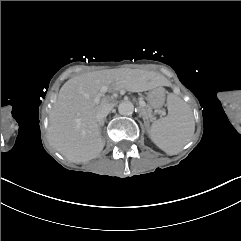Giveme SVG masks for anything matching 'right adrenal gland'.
I'll return each instance as SVG.
<instances>
[{
    "label": "right adrenal gland",
    "instance_id": "2a0ac1e0",
    "mask_svg": "<svg viewBox=\"0 0 241 241\" xmlns=\"http://www.w3.org/2000/svg\"><path fill=\"white\" fill-rule=\"evenodd\" d=\"M100 126H102V125H99V130H100V133H101V127Z\"/></svg>",
    "mask_w": 241,
    "mask_h": 241
}]
</instances>
